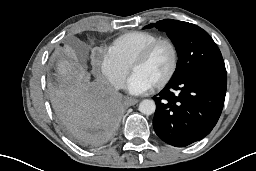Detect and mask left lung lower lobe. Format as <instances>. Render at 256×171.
Masks as SVG:
<instances>
[{
	"instance_id": "left-lung-lower-lobe-1",
	"label": "left lung lower lobe",
	"mask_w": 256,
	"mask_h": 171,
	"mask_svg": "<svg viewBox=\"0 0 256 171\" xmlns=\"http://www.w3.org/2000/svg\"><path fill=\"white\" fill-rule=\"evenodd\" d=\"M226 85L225 67L196 69L170 81L153 97L156 134L176 147L203 139L221 115Z\"/></svg>"
}]
</instances>
